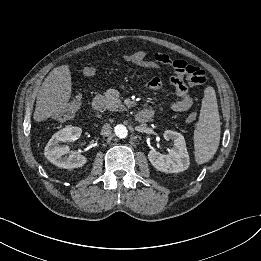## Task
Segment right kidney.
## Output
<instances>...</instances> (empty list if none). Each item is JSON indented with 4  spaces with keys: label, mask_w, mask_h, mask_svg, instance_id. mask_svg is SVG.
<instances>
[{
    "label": "right kidney",
    "mask_w": 261,
    "mask_h": 261,
    "mask_svg": "<svg viewBox=\"0 0 261 261\" xmlns=\"http://www.w3.org/2000/svg\"><path fill=\"white\" fill-rule=\"evenodd\" d=\"M82 134V129L79 127H66L55 133L47 143L44 155L54 165L65 168L73 169L82 167L87 158L78 153H72L68 157H63L64 154L69 153L67 145L60 146V142H67L70 140H77Z\"/></svg>",
    "instance_id": "right-kidney-1"
}]
</instances>
